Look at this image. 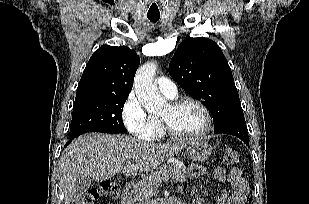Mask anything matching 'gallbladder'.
Returning <instances> with one entry per match:
<instances>
[{
    "label": "gallbladder",
    "mask_w": 309,
    "mask_h": 204,
    "mask_svg": "<svg viewBox=\"0 0 309 204\" xmlns=\"http://www.w3.org/2000/svg\"><path fill=\"white\" fill-rule=\"evenodd\" d=\"M90 186L91 179L89 177H80L75 183L74 192L72 194L71 200H79L82 195L90 188Z\"/></svg>",
    "instance_id": "1"
}]
</instances>
